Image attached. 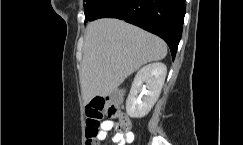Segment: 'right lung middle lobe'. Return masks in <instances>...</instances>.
I'll return each mask as SVG.
<instances>
[{
    "label": "right lung middle lobe",
    "instance_id": "obj_1",
    "mask_svg": "<svg viewBox=\"0 0 243 145\" xmlns=\"http://www.w3.org/2000/svg\"><path fill=\"white\" fill-rule=\"evenodd\" d=\"M85 4H84V8L86 9L90 3L92 2V0H84Z\"/></svg>",
    "mask_w": 243,
    "mask_h": 145
}]
</instances>
